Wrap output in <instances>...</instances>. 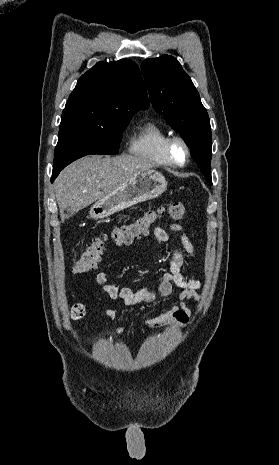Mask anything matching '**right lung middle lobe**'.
Returning a JSON list of instances; mask_svg holds the SVG:
<instances>
[{
  "instance_id": "dd1d6c3e",
  "label": "right lung middle lobe",
  "mask_w": 279,
  "mask_h": 465,
  "mask_svg": "<svg viewBox=\"0 0 279 465\" xmlns=\"http://www.w3.org/2000/svg\"><path fill=\"white\" fill-rule=\"evenodd\" d=\"M133 114L117 112L100 125L60 127L54 153V168L65 167L88 154H117L122 132Z\"/></svg>"
}]
</instances>
